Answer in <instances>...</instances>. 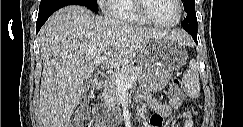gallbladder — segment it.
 Returning a JSON list of instances; mask_svg holds the SVG:
<instances>
[{
	"label": "gallbladder",
	"mask_w": 243,
	"mask_h": 127,
	"mask_svg": "<svg viewBox=\"0 0 243 127\" xmlns=\"http://www.w3.org/2000/svg\"><path fill=\"white\" fill-rule=\"evenodd\" d=\"M89 88V82L85 83V91Z\"/></svg>",
	"instance_id": "gallbladder-1"
}]
</instances>
